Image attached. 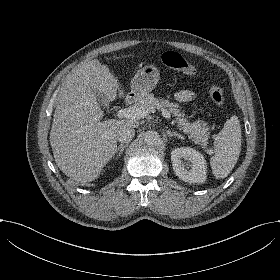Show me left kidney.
Segmentation results:
<instances>
[{"label":"left kidney","mask_w":280,"mask_h":280,"mask_svg":"<svg viewBox=\"0 0 280 280\" xmlns=\"http://www.w3.org/2000/svg\"><path fill=\"white\" fill-rule=\"evenodd\" d=\"M171 161L176 176L181 180L198 184L206 181V158L199 151L191 147L176 148L171 151ZM183 161H185V164ZM187 161H190V163Z\"/></svg>","instance_id":"1"}]
</instances>
